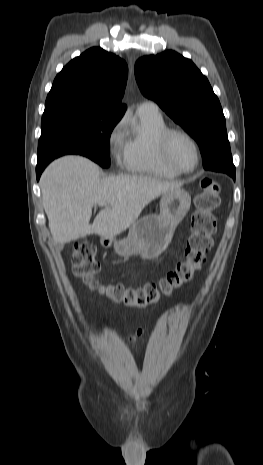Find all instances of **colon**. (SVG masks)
I'll return each mask as SVG.
<instances>
[{
	"mask_svg": "<svg viewBox=\"0 0 263 465\" xmlns=\"http://www.w3.org/2000/svg\"><path fill=\"white\" fill-rule=\"evenodd\" d=\"M220 183L209 177L200 181V191L195 196V211L191 218V235L185 249V258L158 282L147 283L138 288L121 284L99 285L95 280L100 270L96 249L90 243H77L71 255L73 272L92 289H98L117 303L128 307L146 308L155 304L161 296H170L190 282L200 269L207 252L213 244L217 221L215 209L220 203Z\"/></svg>",
	"mask_w": 263,
	"mask_h": 465,
	"instance_id": "obj_1",
	"label": "colon"
}]
</instances>
